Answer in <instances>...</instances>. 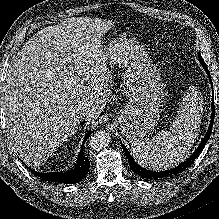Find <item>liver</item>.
I'll return each mask as SVG.
<instances>
[{"label": "liver", "instance_id": "liver-1", "mask_svg": "<svg viewBox=\"0 0 219 219\" xmlns=\"http://www.w3.org/2000/svg\"><path fill=\"white\" fill-rule=\"evenodd\" d=\"M110 20L71 17L45 27L18 51L4 85L6 127L19 156L39 167L72 136L80 109L94 115L112 98L101 38Z\"/></svg>", "mask_w": 219, "mask_h": 219}]
</instances>
